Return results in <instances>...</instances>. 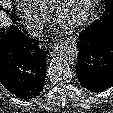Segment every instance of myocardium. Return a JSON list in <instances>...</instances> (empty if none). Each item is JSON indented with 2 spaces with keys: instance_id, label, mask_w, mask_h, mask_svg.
I'll use <instances>...</instances> for the list:
<instances>
[{
  "instance_id": "f54148a6",
  "label": "myocardium",
  "mask_w": 113,
  "mask_h": 113,
  "mask_svg": "<svg viewBox=\"0 0 113 113\" xmlns=\"http://www.w3.org/2000/svg\"><path fill=\"white\" fill-rule=\"evenodd\" d=\"M67 0H55L52 6V15L56 23L66 27V28H77L86 24L90 18L91 9L93 5V0H86L82 8V11L78 18L69 22H62L61 20V11Z\"/></svg>"
}]
</instances>
